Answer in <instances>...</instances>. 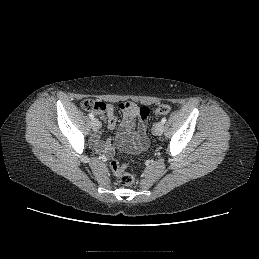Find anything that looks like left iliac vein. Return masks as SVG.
I'll return each instance as SVG.
<instances>
[{
	"label": "left iliac vein",
	"instance_id": "4c4485c4",
	"mask_svg": "<svg viewBox=\"0 0 259 259\" xmlns=\"http://www.w3.org/2000/svg\"><path fill=\"white\" fill-rule=\"evenodd\" d=\"M164 131V124L162 122H158L154 126V133L155 135H161Z\"/></svg>",
	"mask_w": 259,
	"mask_h": 259
}]
</instances>
